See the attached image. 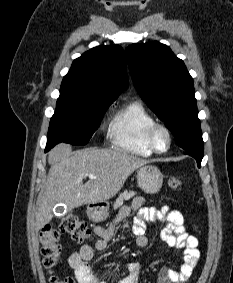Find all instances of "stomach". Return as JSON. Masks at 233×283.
<instances>
[{
	"label": "stomach",
	"instance_id": "0dacf381",
	"mask_svg": "<svg viewBox=\"0 0 233 283\" xmlns=\"http://www.w3.org/2000/svg\"><path fill=\"white\" fill-rule=\"evenodd\" d=\"M137 183L141 190L147 194H156L163 184V175L153 165H144L137 170ZM89 217L94 221H102L109 215L108 208H89Z\"/></svg>",
	"mask_w": 233,
	"mask_h": 283
}]
</instances>
